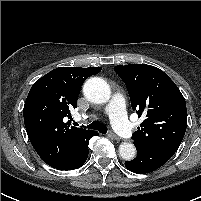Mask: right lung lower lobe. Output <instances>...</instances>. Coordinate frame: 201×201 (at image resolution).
I'll return each mask as SVG.
<instances>
[{"label": "right lung lower lobe", "instance_id": "right-lung-lower-lobe-1", "mask_svg": "<svg viewBox=\"0 0 201 201\" xmlns=\"http://www.w3.org/2000/svg\"><path fill=\"white\" fill-rule=\"evenodd\" d=\"M96 135H98V133H95V134L89 136L86 139V141H85V143H84L79 155L73 161H71L67 165L57 167V169L71 170V169L80 168L85 163V161H86V159L88 157V141L92 136H96Z\"/></svg>", "mask_w": 201, "mask_h": 201}]
</instances>
